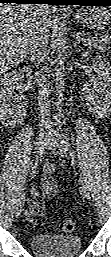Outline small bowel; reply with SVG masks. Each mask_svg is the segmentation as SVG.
<instances>
[{"instance_id": "1", "label": "small bowel", "mask_w": 111, "mask_h": 257, "mask_svg": "<svg viewBox=\"0 0 111 257\" xmlns=\"http://www.w3.org/2000/svg\"><path fill=\"white\" fill-rule=\"evenodd\" d=\"M53 173V165L50 163L45 164L41 179V188L43 193L48 197L54 196L58 190L57 182L50 177ZM26 218L34 224H42L44 222V210L36 193L33 194V200L26 211Z\"/></svg>"}]
</instances>
